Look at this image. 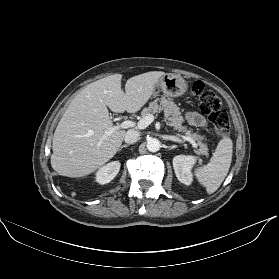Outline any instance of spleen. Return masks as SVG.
<instances>
[{
    "label": "spleen",
    "mask_w": 279,
    "mask_h": 279,
    "mask_svg": "<svg viewBox=\"0 0 279 279\" xmlns=\"http://www.w3.org/2000/svg\"><path fill=\"white\" fill-rule=\"evenodd\" d=\"M233 143L229 137H223L207 165L195 171L198 181L206 188L208 194L214 193L229 172L232 161Z\"/></svg>",
    "instance_id": "obj_1"
}]
</instances>
